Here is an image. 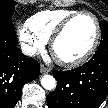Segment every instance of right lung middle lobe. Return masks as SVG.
Returning a JSON list of instances; mask_svg holds the SVG:
<instances>
[{"instance_id": "right-lung-middle-lobe-1", "label": "right lung middle lobe", "mask_w": 108, "mask_h": 108, "mask_svg": "<svg viewBox=\"0 0 108 108\" xmlns=\"http://www.w3.org/2000/svg\"><path fill=\"white\" fill-rule=\"evenodd\" d=\"M17 2L13 0L0 1V24L12 25L11 17L13 15Z\"/></svg>"}]
</instances>
